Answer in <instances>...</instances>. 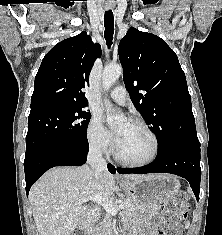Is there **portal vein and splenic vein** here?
<instances>
[{"label":"portal vein and splenic vein","instance_id":"obj_1","mask_svg":"<svg viewBox=\"0 0 222 235\" xmlns=\"http://www.w3.org/2000/svg\"><path fill=\"white\" fill-rule=\"evenodd\" d=\"M87 200H93L94 202L100 204L105 209V211L110 215H116L118 211L124 209L123 204L117 205L116 203L112 202L108 198L102 197L100 195L83 197L81 199V201H83V202H85Z\"/></svg>","mask_w":222,"mask_h":235}]
</instances>
